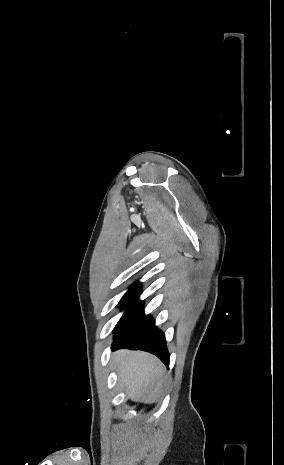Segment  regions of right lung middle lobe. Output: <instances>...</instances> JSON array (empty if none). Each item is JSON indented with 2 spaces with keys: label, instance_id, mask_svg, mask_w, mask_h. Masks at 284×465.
Instances as JSON below:
<instances>
[{
  "label": "right lung middle lobe",
  "instance_id": "right-lung-middle-lobe-1",
  "mask_svg": "<svg viewBox=\"0 0 284 465\" xmlns=\"http://www.w3.org/2000/svg\"><path fill=\"white\" fill-rule=\"evenodd\" d=\"M140 285H141L140 283L134 284L121 299L119 305L127 307V310L125 311L123 317L126 316L128 313H130L139 303L136 300L141 292Z\"/></svg>",
  "mask_w": 284,
  "mask_h": 465
}]
</instances>
